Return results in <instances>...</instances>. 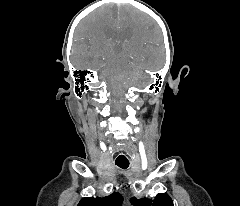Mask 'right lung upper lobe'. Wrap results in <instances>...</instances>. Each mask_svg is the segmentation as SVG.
Wrapping results in <instances>:
<instances>
[{"instance_id":"cb5924a9","label":"right lung upper lobe","mask_w":240,"mask_h":206,"mask_svg":"<svg viewBox=\"0 0 240 206\" xmlns=\"http://www.w3.org/2000/svg\"><path fill=\"white\" fill-rule=\"evenodd\" d=\"M123 198L120 193L114 192L104 198L85 197L77 206H121Z\"/></svg>"}]
</instances>
